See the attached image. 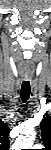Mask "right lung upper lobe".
Here are the masks:
<instances>
[{"mask_svg": "<svg viewBox=\"0 0 51 150\" xmlns=\"http://www.w3.org/2000/svg\"><path fill=\"white\" fill-rule=\"evenodd\" d=\"M9 128L8 126L0 121V150H8L9 149Z\"/></svg>", "mask_w": 51, "mask_h": 150, "instance_id": "cb5924a9", "label": "right lung upper lobe"}]
</instances>
